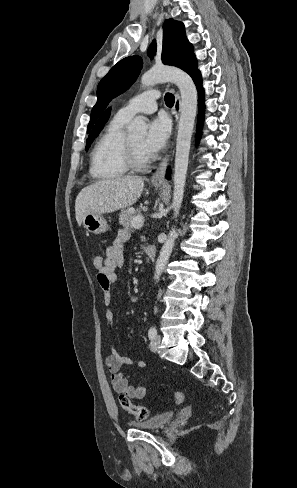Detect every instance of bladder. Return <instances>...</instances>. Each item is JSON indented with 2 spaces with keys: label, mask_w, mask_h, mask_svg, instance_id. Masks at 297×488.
<instances>
[{
  "label": "bladder",
  "mask_w": 297,
  "mask_h": 488,
  "mask_svg": "<svg viewBox=\"0 0 297 488\" xmlns=\"http://www.w3.org/2000/svg\"><path fill=\"white\" fill-rule=\"evenodd\" d=\"M173 418V412H163L145 421H132V427L142 430H157L168 424Z\"/></svg>",
  "instance_id": "31cf9c89"
}]
</instances>
